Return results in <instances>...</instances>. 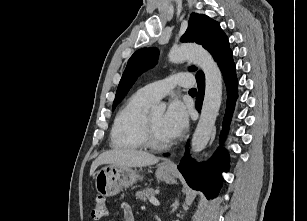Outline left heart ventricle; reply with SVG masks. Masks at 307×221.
<instances>
[{
    "label": "left heart ventricle",
    "instance_id": "left-heart-ventricle-1",
    "mask_svg": "<svg viewBox=\"0 0 307 221\" xmlns=\"http://www.w3.org/2000/svg\"><path fill=\"white\" fill-rule=\"evenodd\" d=\"M151 118L154 126L155 136L159 142H166L170 140L164 129V112L156 111L151 112Z\"/></svg>",
    "mask_w": 307,
    "mask_h": 221
}]
</instances>
